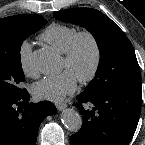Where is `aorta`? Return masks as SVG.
<instances>
[{"instance_id":"1","label":"aorta","mask_w":145,"mask_h":145,"mask_svg":"<svg viewBox=\"0 0 145 145\" xmlns=\"http://www.w3.org/2000/svg\"><path fill=\"white\" fill-rule=\"evenodd\" d=\"M33 63L40 71L50 73L54 70L57 59L51 51L40 49L34 53ZM61 121L71 132L79 131L82 126V117L80 113L71 108L62 111Z\"/></svg>"}]
</instances>
